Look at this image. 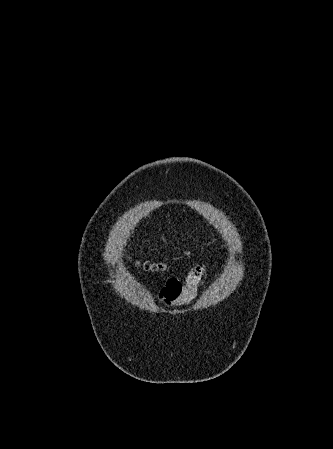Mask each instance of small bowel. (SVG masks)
I'll use <instances>...</instances> for the list:
<instances>
[{
  "instance_id": "obj_1",
  "label": "small bowel",
  "mask_w": 333,
  "mask_h": 449,
  "mask_svg": "<svg viewBox=\"0 0 333 449\" xmlns=\"http://www.w3.org/2000/svg\"><path fill=\"white\" fill-rule=\"evenodd\" d=\"M209 277L206 265H197L191 268L185 278H171L159 293L160 301L166 306H181L185 299L194 295L200 284Z\"/></svg>"
}]
</instances>
